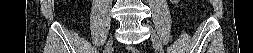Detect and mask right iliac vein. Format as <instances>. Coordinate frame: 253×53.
<instances>
[{"instance_id": "right-iliac-vein-1", "label": "right iliac vein", "mask_w": 253, "mask_h": 53, "mask_svg": "<svg viewBox=\"0 0 253 53\" xmlns=\"http://www.w3.org/2000/svg\"><path fill=\"white\" fill-rule=\"evenodd\" d=\"M113 45V40L112 38L108 41L107 47L110 48Z\"/></svg>"}]
</instances>
